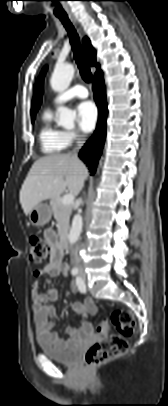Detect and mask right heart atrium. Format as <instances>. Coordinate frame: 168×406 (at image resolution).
<instances>
[{
  "instance_id": "1",
  "label": "right heart atrium",
  "mask_w": 168,
  "mask_h": 406,
  "mask_svg": "<svg viewBox=\"0 0 168 406\" xmlns=\"http://www.w3.org/2000/svg\"><path fill=\"white\" fill-rule=\"evenodd\" d=\"M65 135L69 144L77 142L83 138L82 135L76 130L65 131Z\"/></svg>"
}]
</instances>
